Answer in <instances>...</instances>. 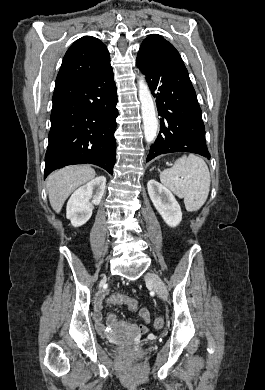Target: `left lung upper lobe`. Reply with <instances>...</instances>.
I'll use <instances>...</instances> for the list:
<instances>
[{
  "label": "left lung upper lobe",
  "mask_w": 265,
  "mask_h": 390,
  "mask_svg": "<svg viewBox=\"0 0 265 390\" xmlns=\"http://www.w3.org/2000/svg\"><path fill=\"white\" fill-rule=\"evenodd\" d=\"M137 56L154 64L185 68L175 47L158 34H151L142 42Z\"/></svg>",
  "instance_id": "obj_1"
}]
</instances>
